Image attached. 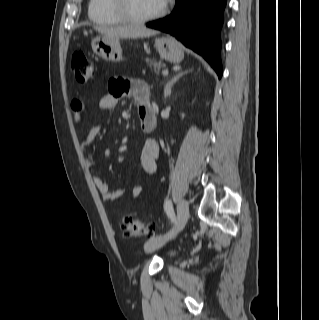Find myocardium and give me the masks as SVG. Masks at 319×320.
<instances>
[{
	"instance_id": "obj_1",
	"label": "myocardium",
	"mask_w": 319,
	"mask_h": 320,
	"mask_svg": "<svg viewBox=\"0 0 319 320\" xmlns=\"http://www.w3.org/2000/svg\"><path fill=\"white\" fill-rule=\"evenodd\" d=\"M112 7L115 12L125 21L132 24H141L147 23L154 20L159 19L162 17L165 12V6H162L158 11L155 13L148 15V16H138L134 14L130 8V1L129 0H111Z\"/></svg>"
}]
</instances>
